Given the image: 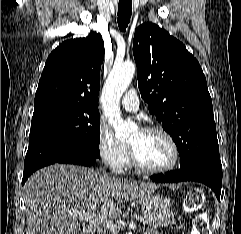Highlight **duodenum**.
Returning <instances> with one entry per match:
<instances>
[{
    "instance_id": "duodenum-1",
    "label": "duodenum",
    "mask_w": 241,
    "mask_h": 234,
    "mask_svg": "<svg viewBox=\"0 0 241 234\" xmlns=\"http://www.w3.org/2000/svg\"><path fill=\"white\" fill-rule=\"evenodd\" d=\"M83 234H94V230L91 227L84 229Z\"/></svg>"
}]
</instances>
